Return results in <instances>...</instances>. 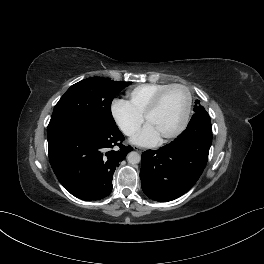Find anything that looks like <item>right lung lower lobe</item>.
<instances>
[{
  "label": "right lung lower lobe",
  "instance_id": "right-lung-lower-lobe-1",
  "mask_svg": "<svg viewBox=\"0 0 264 264\" xmlns=\"http://www.w3.org/2000/svg\"><path fill=\"white\" fill-rule=\"evenodd\" d=\"M123 140L117 125L69 127L48 137L50 164L72 195L100 200L111 193L116 166L132 150Z\"/></svg>",
  "mask_w": 264,
  "mask_h": 264
}]
</instances>
